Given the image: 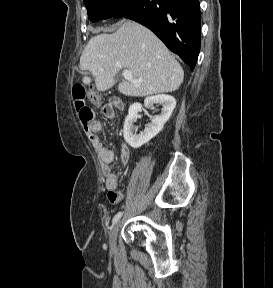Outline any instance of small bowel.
Here are the masks:
<instances>
[{
    "label": "small bowel",
    "instance_id": "obj_1",
    "mask_svg": "<svg viewBox=\"0 0 273 288\" xmlns=\"http://www.w3.org/2000/svg\"><path fill=\"white\" fill-rule=\"evenodd\" d=\"M121 107L122 105L119 101L109 102L103 109L104 116L108 119H113L116 110L121 109ZM86 130L101 162L102 173L105 177V187L108 191V200L112 204H118L122 200V192L119 190L118 176L113 171L115 153L106 148L100 141L97 133L102 130V124L99 121H93ZM120 156L123 163L128 162L130 151L126 145L122 146Z\"/></svg>",
    "mask_w": 273,
    "mask_h": 288
}]
</instances>
